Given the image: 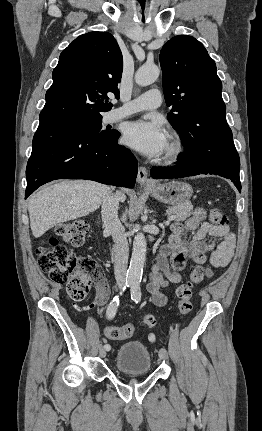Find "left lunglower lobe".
<instances>
[{"label":"left lung lower lobe","instance_id":"0a47b994","mask_svg":"<svg viewBox=\"0 0 262 431\" xmlns=\"http://www.w3.org/2000/svg\"><path fill=\"white\" fill-rule=\"evenodd\" d=\"M239 170L240 159L238 154H222V158L217 159L215 163H211L208 166L180 160V163L172 168L153 167L150 173L154 179H171L199 174L219 175L231 179L239 192H241Z\"/></svg>","mask_w":262,"mask_h":431}]
</instances>
